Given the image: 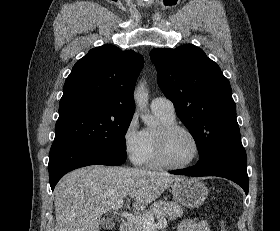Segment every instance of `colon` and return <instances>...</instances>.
<instances>
[{
	"instance_id": "1",
	"label": "colon",
	"mask_w": 280,
	"mask_h": 231,
	"mask_svg": "<svg viewBox=\"0 0 280 231\" xmlns=\"http://www.w3.org/2000/svg\"><path fill=\"white\" fill-rule=\"evenodd\" d=\"M221 231H225V229H224V228H221Z\"/></svg>"
}]
</instances>
